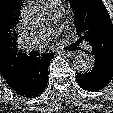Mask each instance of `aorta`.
I'll return each instance as SVG.
<instances>
[{
	"mask_svg": "<svg viewBox=\"0 0 113 113\" xmlns=\"http://www.w3.org/2000/svg\"><path fill=\"white\" fill-rule=\"evenodd\" d=\"M24 18H33L34 12L24 10L22 12ZM73 67L78 73H88L94 67V58L88 54L80 53L73 59Z\"/></svg>",
	"mask_w": 113,
	"mask_h": 113,
	"instance_id": "aorta-1",
	"label": "aorta"
}]
</instances>
